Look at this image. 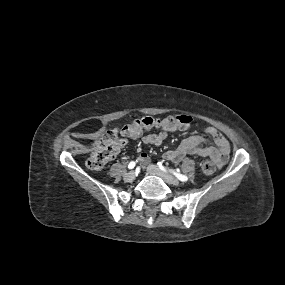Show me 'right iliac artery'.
<instances>
[{"instance_id": "right-iliac-artery-1", "label": "right iliac artery", "mask_w": 285, "mask_h": 285, "mask_svg": "<svg viewBox=\"0 0 285 285\" xmlns=\"http://www.w3.org/2000/svg\"><path fill=\"white\" fill-rule=\"evenodd\" d=\"M135 165H136V162L131 161V162L129 163V165H128V168H129V169H133V168L135 167Z\"/></svg>"}]
</instances>
